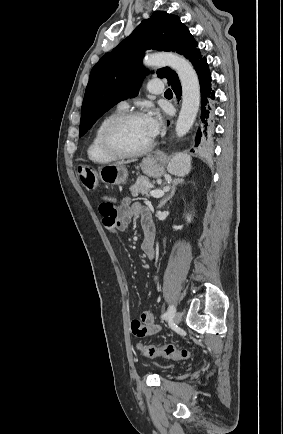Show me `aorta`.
<instances>
[{
  "instance_id": "obj_1",
  "label": "aorta",
  "mask_w": 283,
  "mask_h": 434,
  "mask_svg": "<svg viewBox=\"0 0 283 434\" xmlns=\"http://www.w3.org/2000/svg\"><path fill=\"white\" fill-rule=\"evenodd\" d=\"M149 67L169 66L176 71L182 86V107L176 123V134L183 137L191 129L200 105V85L192 65L183 57L172 53H156L143 60Z\"/></svg>"
}]
</instances>
